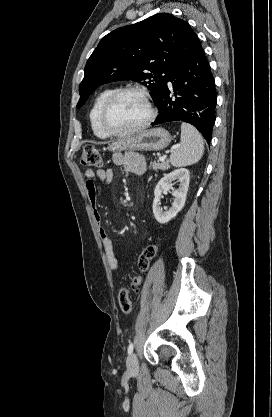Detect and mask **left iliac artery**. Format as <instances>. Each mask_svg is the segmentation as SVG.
Masks as SVG:
<instances>
[{
  "label": "left iliac artery",
  "mask_w": 272,
  "mask_h": 417,
  "mask_svg": "<svg viewBox=\"0 0 272 417\" xmlns=\"http://www.w3.org/2000/svg\"><path fill=\"white\" fill-rule=\"evenodd\" d=\"M133 348H134L133 343H130L128 346V354H131L133 352Z\"/></svg>",
  "instance_id": "1"
}]
</instances>
